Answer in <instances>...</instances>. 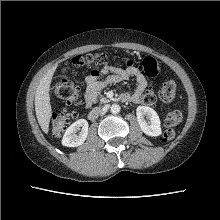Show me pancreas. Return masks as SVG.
Segmentation results:
<instances>
[{
  "mask_svg": "<svg viewBox=\"0 0 220 220\" xmlns=\"http://www.w3.org/2000/svg\"><path fill=\"white\" fill-rule=\"evenodd\" d=\"M107 102H109V100L107 98H105V97L101 98V103H107Z\"/></svg>",
  "mask_w": 220,
  "mask_h": 220,
  "instance_id": "obj_1",
  "label": "pancreas"
}]
</instances>
